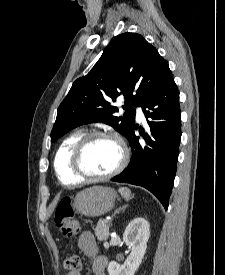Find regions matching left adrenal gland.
<instances>
[{"mask_svg":"<svg viewBox=\"0 0 225 275\" xmlns=\"http://www.w3.org/2000/svg\"><path fill=\"white\" fill-rule=\"evenodd\" d=\"M126 207H127V205H126V206H123V207H121V208H119L118 210H116L115 213H114V216H115L116 214H118L120 211H124V210L126 209Z\"/></svg>","mask_w":225,"mask_h":275,"instance_id":"1","label":"left adrenal gland"}]
</instances>
